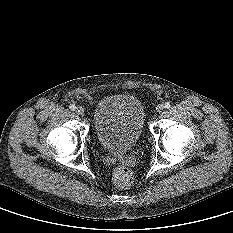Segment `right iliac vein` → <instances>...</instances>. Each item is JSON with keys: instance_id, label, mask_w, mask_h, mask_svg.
Wrapping results in <instances>:
<instances>
[{"instance_id": "1", "label": "right iliac vein", "mask_w": 233, "mask_h": 233, "mask_svg": "<svg viewBox=\"0 0 233 233\" xmlns=\"http://www.w3.org/2000/svg\"><path fill=\"white\" fill-rule=\"evenodd\" d=\"M75 111L78 115L84 114V109L81 106L76 107Z\"/></svg>"}]
</instances>
